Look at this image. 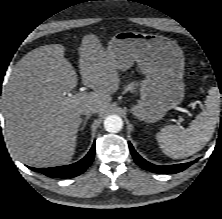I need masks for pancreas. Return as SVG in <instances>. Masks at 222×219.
I'll list each match as a JSON object with an SVG mask.
<instances>
[{"label":"pancreas","mask_w":222,"mask_h":219,"mask_svg":"<svg viewBox=\"0 0 222 219\" xmlns=\"http://www.w3.org/2000/svg\"><path fill=\"white\" fill-rule=\"evenodd\" d=\"M138 86V83L136 81L134 82H131L130 84H128L126 87H125V91H132L133 89H135V87Z\"/></svg>","instance_id":"pancreas-1"}]
</instances>
